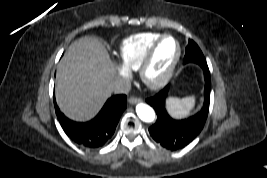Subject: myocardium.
<instances>
[{
  "label": "myocardium",
  "mask_w": 267,
  "mask_h": 178,
  "mask_svg": "<svg viewBox=\"0 0 267 178\" xmlns=\"http://www.w3.org/2000/svg\"><path fill=\"white\" fill-rule=\"evenodd\" d=\"M168 38L173 39L177 45L176 56H175L174 60L172 61L170 67L165 72V74L159 80L151 81L147 77L148 67L151 64L153 57H154L158 47L160 46V44L165 39H168ZM181 57H182V46H181V43L179 42V40L175 36L170 35V34L162 35L160 38H158L151 45V47L146 52L145 56L143 57L140 65L138 67L139 77H140L141 81L144 83L145 86H147L151 90H158V89L163 88L173 77L175 70H176V68H177V66L181 60Z\"/></svg>",
  "instance_id": "myocardium-1"
}]
</instances>
